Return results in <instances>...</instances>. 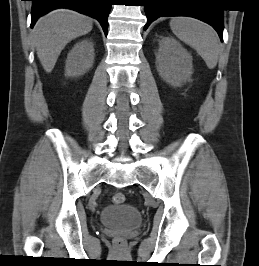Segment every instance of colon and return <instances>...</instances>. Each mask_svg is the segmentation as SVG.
<instances>
[{
	"mask_svg": "<svg viewBox=\"0 0 259 266\" xmlns=\"http://www.w3.org/2000/svg\"><path fill=\"white\" fill-rule=\"evenodd\" d=\"M112 201L114 204H122L125 201V195L122 192H117L113 195ZM115 246L119 250H123L125 248V240L123 238L115 239Z\"/></svg>",
	"mask_w": 259,
	"mask_h": 266,
	"instance_id": "1",
	"label": "colon"
}]
</instances>
